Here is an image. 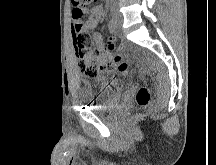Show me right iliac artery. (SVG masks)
Masks as SVG:
<instances>
[{"label":"right iliac artery","instance_id":"right-iliac-artery-1","mask_svg":"<svg viewBox=\"0 0 216 165\" xmlns=\"http://www.w3.org/2000/svg\"><path fill=\"white\" fill-rule=\"evenodd\" d=\"M108 28H109L110 33L115 32L116 25H115V22L113 21V19H110V21L108 23Z\"/></svg>","mask_w":216,"mask_h":165}]
</instances>
